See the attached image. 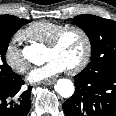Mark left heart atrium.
Returning <instances> with one entry per match:
<instances>
[{"label":"left heart atrium","mask_w":116,"mask_h":116,"mask_svg":"<svg viewBox=\"0 0 116 116\" xmlns=\"http://www.w3.org/2000/svg\"><path fill=\"white\" fill-rule=\"evenodd\" d=\"M67 69L66 65L58 58H50L43 65L32 69L28 75L31 82H39L57 76Z\"/></svg>","instance_id":"39dd6f15"}]
</instances>
